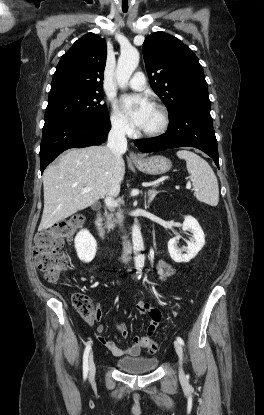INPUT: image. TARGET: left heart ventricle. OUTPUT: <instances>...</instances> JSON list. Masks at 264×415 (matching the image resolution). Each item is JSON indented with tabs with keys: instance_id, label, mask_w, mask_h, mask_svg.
I'll return each mask as SVG.
<instances>
[{
	"instance_id": "left-heart-ventricle-1",
	"label": "left heart ventricle",
	"mask_w": 264,
	"mask_h": 415,
	"mask_svg": "<svg viewBox=\"0 0 264 415\" xmlns=\"http://www.w3.org/2000/svg\"><path fill=\"white\" fill-rule=\"evenodd\" d=\"M160 124V113L154 107L147 116L144 125L141 128V131H151L156 129Z\"/></svg>"
}]
</instances>
